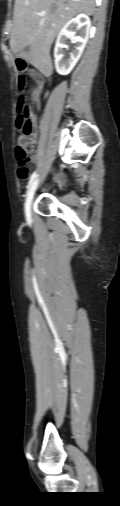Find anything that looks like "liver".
<instances>
[{"label":"liver","mask_w":120,"mask_h":506,"mask_svg":"<svg viewBox=\"0 0 120 506\" xmlns=\"http://www.w3.org/2000/svg\"><path fill=\"white\" fill-rule=\"evenodd\" d=\"M94 11L95 0H15L11 50L50 75L49 50L57 34L75 15H93Z\"/></svg>","instance_id":"obj_1"}]
</instances>
